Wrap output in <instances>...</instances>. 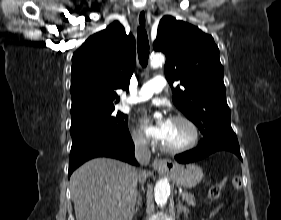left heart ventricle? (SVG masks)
<instances>
[{"instance_id":"1","label":"left heart ventricle","mask_w":281,"mask_h":220,"mask_svg":"<svg viewBox=\"0 0 281 220\" xmlns=\"http://www.w3.org/2000/svg\"><path fill=\"white\" fill-rule=\"evenodd\" d=\"M190 138L191 130L185 123L171 120L162 143L174 148L188 143Z\"/></svg>"}]
</instances>
